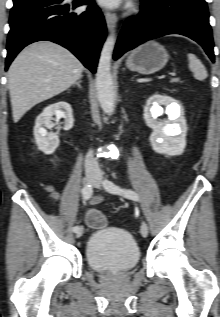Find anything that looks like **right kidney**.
I'll use <instances>...</instances> for the list:
<instances>
[{
	"label": "right kidney",
	"instance_id": "obj_1",
	"mask_svg": "<svg viewBox=\"0 0 220 317\" xmlns=\"http://www.w3.org/2000/svg\"><path fill=\"white\" fill-rule=\"evenodd\" d=\"M64 118V130H70L74 125L72 108L69 103L60 101L44 108L36 118L34 126V138L38 149L45 154H52L59 146V133H48L46 128H52V117Z\"/></svg>",
	"mask_w": 220,
	"mask_h": 317
}]
</instances>
